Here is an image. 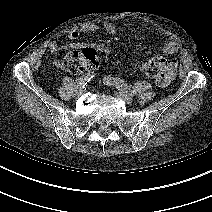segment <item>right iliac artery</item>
Wrapping results in <instances>:
<instances>
[{
    "label": "right iliac artery",
    "mask_w": 212,
    "mask_h": 212,
    "mask_svg": "<svg viewBox=\"0 0 212 212\" xmlns=\"http://www.w3.org/2000/svg\"><path fill=\"white\" fill-rule=\"evenodd\" d=\"M93 77H94L93 74L88 73V74H85L83 77L78 78V79L76 80V86H75L73 95H75L76 92H77L78 90L84 88V87L87 85V83H88Z\"/></svg>",
    "instance_id": "obj_1"
}]
</instances>
